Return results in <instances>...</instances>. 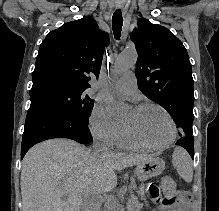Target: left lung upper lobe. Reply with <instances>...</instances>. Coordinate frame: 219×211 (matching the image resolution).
<instances>
[{
  "label": "left lung upper lobe",
  "instance_id": "left-lung-upper-lobe-1",
  "mask_svg": "<svg viewBox=\"0 0 219 211\" xmlns=\"http://www.w3.org/2000/svg\"><path fill=\"white\" fill-rule=\"evenodd\" d=\"M131 39L138 53V88L167 110L181 128L180 137L192 136V67L183 43L170 30L147 19L138 22Z\"/></svg>",
  "mask_w": 219,
  "mask_h": 211
}]
</instances>
